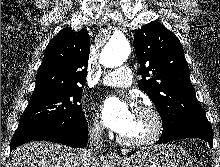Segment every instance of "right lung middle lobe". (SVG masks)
I'll list each match as a JSON object with an SVG mask.
<instances>
[{
    "mask_svg": "<svg viewBox=\"0 0 220 167\" xmlns=\"http://www.w3.org/2000/svg\"><path fill=\"white\" fill-rule=\"evenodd\" d=\"M82 89L79 86L66 88L56 93L31 98L20 118L18 128L39 124H71L80 120L84 114L79 104Z\"/></svg>",
    "mask_w": 220,
    "mask_h": 167,
    "instance_id": "right-lung-middle-lobe-1",
    "label": "right lung middle lobe"
}]
</instances>
